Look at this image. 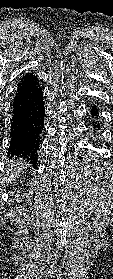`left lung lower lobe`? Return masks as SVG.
I'll return each instance as SVG.
<instances>
[{
	"label": "left lung lower lobe",
	"mask_w": 113,
	"mask_h": 279,
	"mask_svg": "<svg viewBox=\"0 0 113 279\" xmlns=\"http://www.w3.org/2000/svg\"><path fill=\"white\" fill-rule=\"evenodd\" d=\"M91 115H92V117H94V116H97V108H96V105L95 106H92L91 105ZM93 126H98V124L97 125H93Z\"/></svg>",
	"instance_id": "1"
}]
</instances>
